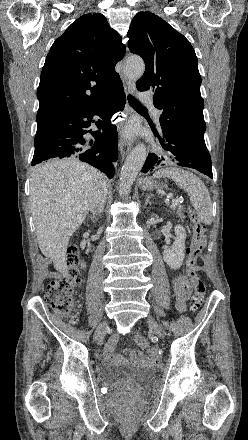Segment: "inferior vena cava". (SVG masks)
Returning a JSON list of instances; mask_svg holds the SVG:
<instances>
[{"mask_svg":"<svg viewBox=\"0 0 248 440\" xmlns=\"http://www.w3.org/2000/svg\"><path fill=\"white\" fill-rule=\"evenodd\" d=\"M107 196V184L105 181H101L92 196L90 202V211L93 213V216H97L100 214L105 206Z\"/></svg>","mask_w":248,"mask_h":440,"instance_id":"inferior-vena-cava-1","label":"inferior vena cava"}]
</instances>
